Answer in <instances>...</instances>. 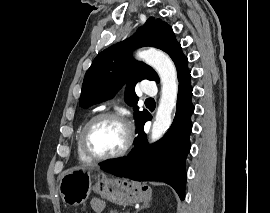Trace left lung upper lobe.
<instances>
[{"instance_id":"obj_1","label":"left lung upper lobe","mask_w":270,"mask_h":213,"mask_svg":"<svg viewBox=\"0 0 270 213\" xmlns=\"http://www.w3.org/2000/svg\"><path fill=\"white\" fill-rule=\"evenodd\" d=\"M143 46H152L165 51L175 63L178 75L187 69L188 59L182 53L181 45L176 40L172 28L160 19L150 17L131 38L97 55L86 72L80 105L89 107L110 99L126 84L125 99L129 105L134 106L135 119L139 125L149 113L147 110L139 111L135 106L138 101L135 85L143 79L159 82L156 72L150 66L131 57L133 49Z\"/></svg>"}]
</instances>
